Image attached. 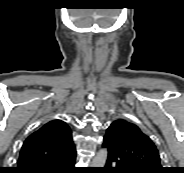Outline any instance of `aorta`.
Segmentation results:
<instances>
[{
  "label": "aorta",
  "mask_w": 184,
  "mask_h": 173,
  "mask_svg": "<svg viewBox=\"0 0 184 173\" xmlns=\"http://www.w3.org/2000/svg\"><path fill=\"white\" fill-rule=\"evenodd\" d=\"M107 149H101L92 160L93 167H104L107 161Z\"/></svg>",
  "instance_id": "obj_1"
}]
</instances>
